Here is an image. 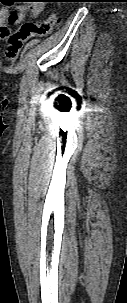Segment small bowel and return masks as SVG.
Listing matches in <instances>:
<instances>
[{
  "instance_id": "c3829d8e",
  "label": "small bowel",
  "mask_w": 127,
  "mask_h": 303,
  "mask_svg": "<svg viewBox=\"0 0 127 303\" xmlns=\"http://www.w3.org/2000/svg\"><path fill=\"white\" fill-rule=\"evenodd\" d=\"M21 5H18L13 11L6 9L0 10V39H5L11 32L10 27L18 25L23 19L29 15L31 18H36L42 11V4L37 3L39 0H26Z\"/></svg>"
}]
</instances>
